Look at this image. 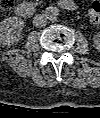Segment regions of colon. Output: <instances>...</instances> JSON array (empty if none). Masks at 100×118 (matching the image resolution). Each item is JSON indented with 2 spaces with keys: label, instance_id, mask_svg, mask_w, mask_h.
I'll list each match as a JSON object with an SVG mask.
<instances>
[{
  "label": "colon",
  "instance_id": "1",
  "mask_svg": "<svg viewBox=\"0 0 100 118\" xmlns=\"http://www.w3.org/2000/svg\"><path fill=\"white\" fill-rule=\"evenodd\" d=\"M13 0H2L3 10H9L12 6ZM89 15L93 22L97 23L100 19V5L98 2H92L89 5Z\"/></svg>",
  "mask_w": 100,
  "mask_h": 118
}]
</instances>
